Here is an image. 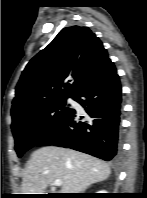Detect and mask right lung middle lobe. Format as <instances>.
Returning a JSON list of instances; mask_svg holds the SVG:
<instances>
[{"label": "right lung middle lobe", "instance_id": "obj_1", "mask_svg": "<svg viewBox=\"0 0 147 198\" xmlns=\"http://www.w3.org/2000/svg\"><path fill=\"white\" fill-rule=\"evenodd\" d=\"M67 98L42 105L12 122L15 150L21 157L51 135L65 120L72 108L67 106Z\"/></svg>", "mask_w": 147, "mask_h": 198}]
</instances>
